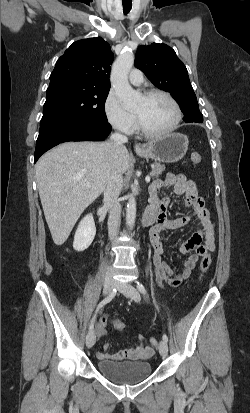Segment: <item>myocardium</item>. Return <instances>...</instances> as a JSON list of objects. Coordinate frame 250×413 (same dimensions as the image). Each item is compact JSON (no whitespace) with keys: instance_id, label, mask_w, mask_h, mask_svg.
I'll use <instances>...</instances> for the list:
<instances>
[{"instance_id":"f54148a6","label":"myocardium","mask_w":250,"mask_h":413,"mask_svg":"<svg viewBox=\"0 0 250 413\" xmlns=\"http://www.w3.org/2000/svg\"><path fill=\"white\" fill-rule=\"evenodd\" d=\"M153 96H163L167 100H169V102L174 107L175 114H176L174 122L172 123V125L169 128H167L164 131L152 132V131H149L143 125L140 117L137 114H135L136 115V120H137V126H138V129H139L140 133L142 135H144L145 137H148V138H161V137H165V136L171 134L172 132H174L177 129V127L179 126V124L182 120V111H181L180 105L178 104L177 100L170 93H168L164 90H160V89H151V90H148L144 93L145 98H151Z\"/></svg>"}]
</instances>
